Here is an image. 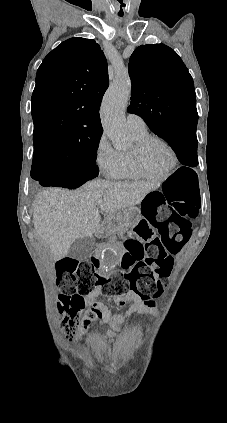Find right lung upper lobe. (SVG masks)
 <instances>
[{
    "instance_id": "right-lung-upper-lobe-1",
    "label": "right lung upper lobe",
    "mask_w": 227,
    "mask_h": 423,
    "mask_svg": "<svg viewBox=\"0 0 227 423\" xmlns=\"http://www.w3.org/2000/svg\"><path fill=\"white\" fill-rule=\"evenodd\" d=\"M107 87L106 58L94 40L71 38L51 51L32 94L34 149L102 134L99 107Z\"/></svg>"
}]
</instances>
